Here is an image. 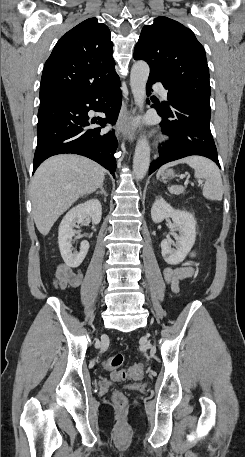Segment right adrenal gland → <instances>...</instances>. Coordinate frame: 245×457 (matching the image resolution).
Instances as JSON below:
<instances>
[{
	"instance_id": "2a0ac1e0",
	"label": "right adrenal gland",
	"mask_w": 245,
	"mask_h": 457,
	"mask_svg": "<svg viewBox=\"0 0 245 457\" xmlns=\"http://www.w3.org/2000/svg\"><path fill=\"white\" fill-rule=\"evenodd\" d=\"M99 192H101V194H104L106 200V196H108V194H106L103 184H101L100 190H97L96 194H99Z\"/></svg>"
}]
</instances>
